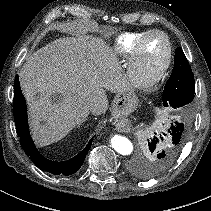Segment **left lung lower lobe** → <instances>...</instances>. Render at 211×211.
<instances>
[{"label": "left lung lower lobe", "mask_w": 211, "mask_h": 211, "mask_svg": "<svg viewBox=\"0 0 211 211\" xmlns=\"http://www.w3.org/2000/svg\"><path fill=\"white\" fill-rule=\"evenodd\" d=\"M179 121H172L170 128L166 133H154L146 143L148 154L157 155L161 163L172 160L179 152L184 134L187 130L190 115L189 111L179 110Z\"/></svg>", "instance_id": "obj_1"}]
</instances>
